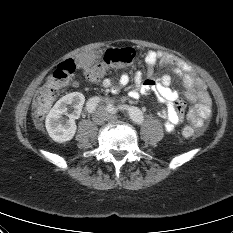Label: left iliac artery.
<instances>
[{
	"label": "left iliac artery",
	"mask_w": 233,
	"mask_h": 233,
	"mask_svg": "<svg viewBox=\"0 0 233 233\" xmlns=\"http://www.w3.org/2000/svg\"><path fill=\"white\" fill-rule=\"evenodd\" d=\"M107 110L111 113H118L119 111H128V114L130 118L137 124H141L144 120L142 112L134 107V106H128V105H119L117 107L109 104L107 106Z\"/></svg>",
	"instance_id": "1"
}]
</instances>
